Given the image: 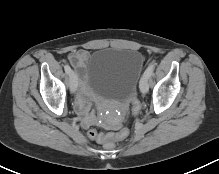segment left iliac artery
Segmentation results:
<instances>
[{
	"label": "left iliac artery",
	"instance_id": "obj_1",
	"mask_svg": "<svg viewBox=\"0 0 219 174\" xmlns=\"http://www.w3.org/2000/svg\"><path fill=\"white\" fill-rule=\"evenodd\" d=\"M154 68H155V64L150 63L147 69L145 70L144 75H146L149 78L152 75Z\"/></svg>",
	"mask_w": 219,
	"mask_h": 174
}]
</instances>
